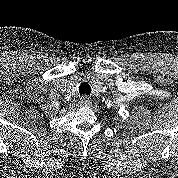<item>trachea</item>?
I'll return each instance as SVG.
<instances>
[{"label": "trachea", "instance_id": "trachea-1", "mask_svg": "<svg viewBox=\"0 0 178 178\" xmlns=\"http://www.w3.org/2000/svg\"><path fill=\"white\" fill-rule=\"evenodd\" d=\"M79 93L80 95H90L91 93V87L88 83L83 82L79 86Z\"/></svg>", "mask_w": 178, "mask_h": 178}]
</instances>
